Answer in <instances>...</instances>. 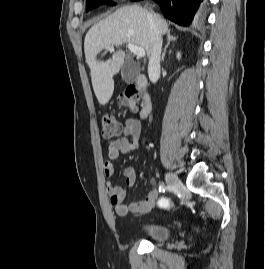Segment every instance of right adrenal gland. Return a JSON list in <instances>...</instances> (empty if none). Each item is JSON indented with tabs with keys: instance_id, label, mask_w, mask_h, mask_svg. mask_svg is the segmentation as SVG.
Returning <instances> with one entry per match:
<instances>
[{
	"instance_id": "2a0ac1e0",
	"label": "right adrenal gland",
	"mask_w": 265,
	"mask_h": 269,
	"mask_svg": "<svg viewBox=\"0 0 265 269\" xmlns=\"http://www.w3.org/2000/svg\"><path fill=\"white\" fill-rule=\"evenodd\" d=\"M166 38H167V43H166V45L164 47V50H163V53H162V57H161V61H164L166 50H167L169 44L171 42H174V41L177 40V37L173 36L170 31H167Z\"/></svg>"
}]
</instances>
